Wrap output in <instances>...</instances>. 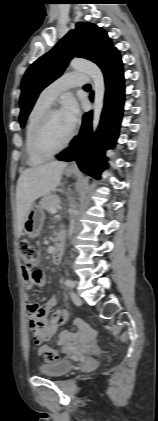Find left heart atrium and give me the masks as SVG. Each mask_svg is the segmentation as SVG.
Wrapping results in <instances>:
<instances>
[{
    "label": "left heart atrium",
    "instance_id": "obj_1",
    "mask_svg": "<svg viewBox=\"0 0 158 421\" xmlns=\"http://www.w3.org/2000/svg\"><path fill=\"white\" fill-rule=\"evenodd\" d=\"M60 113L67 125L73 129L79 120V108L77 102L69 97L65 100Z\"/></svg>",
    "mask_w": 158,
    "mask_h": 421
}]
</instances>
